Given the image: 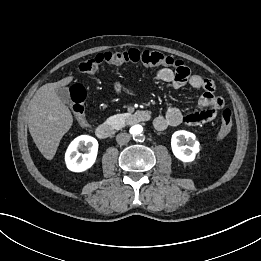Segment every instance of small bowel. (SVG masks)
Returning <instances> with one entry per match:
<instances>
[{
	"instance_id": "small-bowel-1",
	"label": "small bowel",
	"mask_w": 261,
	"mask_h": 261,
	"mask_svg": "<svg viewBox=\"0 0 261 261\" xmlns=\"http://www.w3.org/2000/svg\"><path fill=\"white\" fill-rule=\"evenodd\" d=\"M157 79L165 84H170L178 89L185 85L191 86L196 90H203L199 98L200 111L183 114L175 107H169L164 115L157 116L153 125L155 129L163 131L168 127H176L181 124L199 125L215 119L218 111L223 107L224 101L216 95L215 83L198 74H191L190 70L182 65L173 71L170 68H162L157 72Z\"/></svg>"
}]
</instances>
